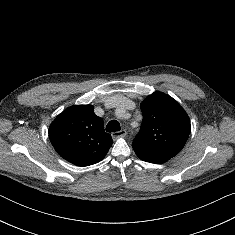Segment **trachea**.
Returning <instances> with one entry per match:
<instances>
[{"mask_svg":"<svg viewBox=\"0 0 235 235\" xmlns=\"http://www.w3.org/2000/svg\"><path fill=\"white\" fill-rule=\"evenodd\" d=\"M120 129V123L117 120H111L106 126L107 132H117L120 131Z\"/></svg>","mask_w":235,"mask_h":235,"instance_id":"3493384b","label":"trachea"}]
</instances>
